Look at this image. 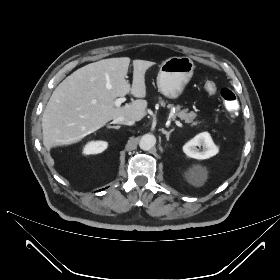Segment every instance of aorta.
<instances>
[{"mask_svg":"<svg viewBox=\"0 0 280 280\" xmlns=\"http://www.w3.org/2000/svg\"><path fill=\"white\" fill-rule=\"evenodd\" d=\"M156 144V138L152 134H145L139 141V147L144 150L148 151L152 149Z\"/></svg>","mask_w":280,"mask_h":280,"instance_id":"1","label":"aorta"}]
</instances>
